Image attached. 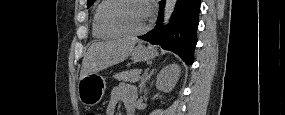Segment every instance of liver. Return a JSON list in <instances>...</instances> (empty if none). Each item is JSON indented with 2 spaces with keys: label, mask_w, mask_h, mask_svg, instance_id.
Here are the masks:
<instances>
[{
  "label": "liver",
  "mask_w": 285,
  "mask_h": 115,
  "mask_svg": "<svg viewBox=\"0 0 285 115\" xmlns=\"http://www.w3.org/2000/svg\"><path fill=\"white\" fill-rule=\"evenodd\" d=\"M137 42V38H122L93 43L83 58L80 79L123 62Z\"/></svg>",
  "instance_id": "obj_1"
}]
</instances>
